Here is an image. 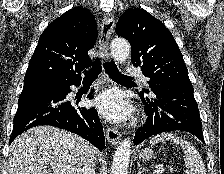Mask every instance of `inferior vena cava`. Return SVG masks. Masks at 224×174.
I'll use <instances>...</instances> for the list:
<instances>
[{
    "instance_id": "inferior-vena-cava-1",
    "label": "inferior vena cava",
    "mask_w": 224,
    "mask_h": 174,
    "mask_svg": "<svg viewBox=\"0 0 224 174\" xmlns=\"http://www.w3.org/2000/svg\"><path fill=\"white\" fill-rule=\"evenodd\" d=\"M77 174H95V162L93 157V149L87 146L77 165Z\"/></svg>"
}]
</instances>
